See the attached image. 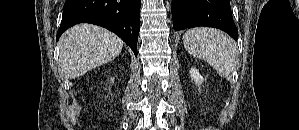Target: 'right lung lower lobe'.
<instances>
[{
	"mask_svg": "<svg viewBox=\"0 0 299 130\" xmlns=\"http://www.w3.org/2000/svg\"><path fill=\"white\" fill-rule=\"evenodd\" d=\"M141 0H66L57 40L71 26L91 23L118 35L137 56Z\"/></svg>",
	"mask_w": 299,
	"mask_h": 130,
	"instance_id": "right-lung-lower-lobe-1",
	"label": "right lung lower lobe"
}]
</instances>
